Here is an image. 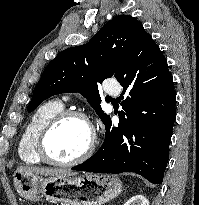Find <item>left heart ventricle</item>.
I'll return each instance as SVG.
<instances>
[{
  "label": "left heart ventricle",
  "mask_w": 199,
  "mask_h": 205,
  "mask_svg": "<svg viewBox=\"0 0 199 205\" xmlns=\"http://www.w3.org/2000/svg\"><path fill=\"white\" fill-rule=\"evenodd\" d=\"M89 139L87 125L80 119L69 118L51 132L47 147L51 156L60 160H69L86 149Z\"/></svg>",
  "instance_id": "left-heart-ventricle-1"
}]
</instances>
